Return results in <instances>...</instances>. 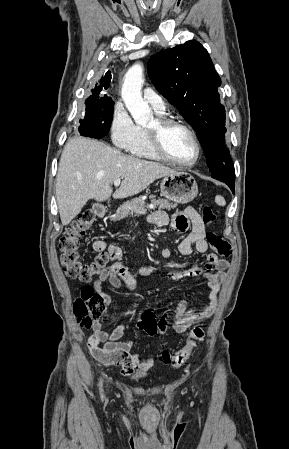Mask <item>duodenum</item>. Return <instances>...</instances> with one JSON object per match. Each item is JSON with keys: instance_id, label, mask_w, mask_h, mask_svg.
Listing matches in <instances>:
<instances>
[{"instance_id": "1", "label": "duodenum", "mask_w": 289, "mask_h": 449, "mask_svg": "<svg viewBox=\"0 0 289 449\" xmlns=\"http://www.w3.org/2000/svg\"><path fill=\"white\" fill-rule=\"evenodd\" d=\"M98 211H99V213L102 214V215L105 213V210H104L103 208H99Z\"/></svg>"}]
</instances>
